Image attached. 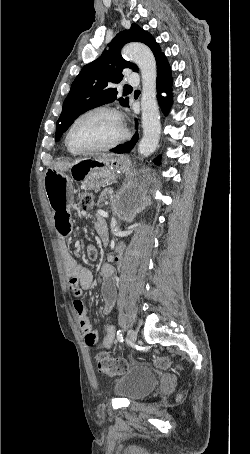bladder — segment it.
Returning a JSON list of instances; mask_svg holds the SVG:
<instances>
[{
  "label": "bladder",
  "instance_id": "bladder-1",
  "mask_svg": "<svg viewBox=\"0 0 250 454\" xmlns=\"http://www.w3.org/2000/svg\"><path fill=\"white\" fill-rule=\"evenodd\" d=\"M157 375L145 366H134L121 373L113 382L112 391L120 398L139 400L155 388Z\"/></svg>",
  "mask_w": 250,
  "mask_h": 454
}]
</instances>
